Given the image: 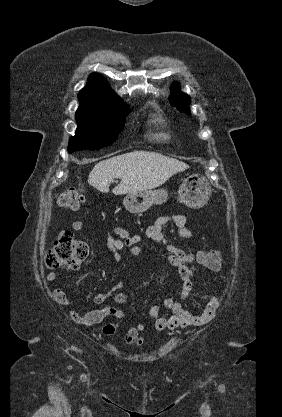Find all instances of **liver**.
I'll return each mask as SVG.
<instances>
[{
  "label": "liver",
  "instance_id": "liver-1",
  "mask_svg": "<svg viewBox=\"0 0 282 417\" xmlns=\"http://www.w3.org/2000/svg\"><path fill=\"white\" fill-rule=\"evenodd\" d=\"M189 168L186 162L170 158L160 152L133 150L126 154L100 160L89 172L88 182L101 192H109L113 178H121L113 188V194H126L137 190H149L164 184L176 172Z\"/></svg>",
  "mask_w": 282,
  "mask_h": 417
}]
</instances>
